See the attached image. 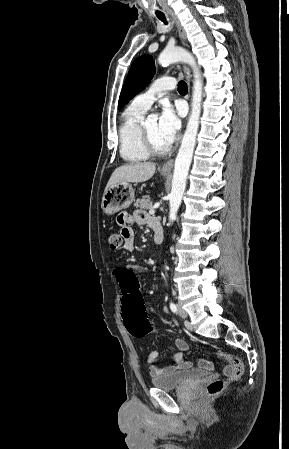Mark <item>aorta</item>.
<instances>
[{
  "label": "aorta",
  "mask_w": 289,
  "mask_h": 449,
  "mask_svg": "<svg viewBox=\"0 0 289 449\" xmlns=\"http://www.w3.org/2000/svg\"><path fill=\"white\" fill-rule=\"evenodd\" d=\"M158 62L161 65H168L175 62L187 63L192 68L194 75L191 114L175 159L172 190L169 197V220L172 222L176 218L177 211L181 205L196 144L201 113L203 80L194 57L181 47L164 49L158 57Z\"/></svg>",
  "instance_id": "obj_1"
}]
</instances>
